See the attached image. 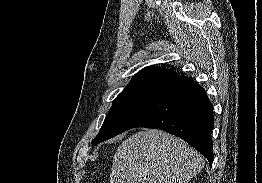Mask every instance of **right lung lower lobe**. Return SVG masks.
<instances>
[{"label": "right lung lower lobe", "instance_id": "obj_1", "mask_svg": "<svg viewBox=\"0 0 262 183\" xmlns=\"http://www.w3.org/2000/svg\"><path fill=\"white\" fill-rule=\"evenodd\" d=\"M146 127L174 134L213 162V106L206 91L188 77H180L161 88L123 132Z\"/></svg>", "mask_w": 262, "mask_h": 183}]
</instances>
